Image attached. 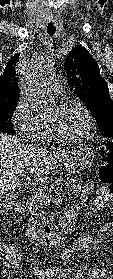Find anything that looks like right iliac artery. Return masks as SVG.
<instances>
[{"label": "right iliac artery", "mask_w": 113, "mask_h": 279, "mask_svg": "<svg viewBox=\"0 0 113 279\" xmlns=\"http://www.w3.org/2000/svg\"><path fill=\"white\" fill-rule=\"evenodd\" d=\"M67 274L66 269L64 268H60V269H56V270H38L37 275L39 277V279H50L52 277H64Z\"/></svg>", "instance_id": "1"}]
</instances>
